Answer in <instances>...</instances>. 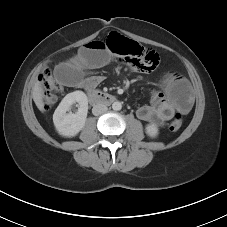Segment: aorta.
<instances>
[{"label":"aorta","mask_w":227,"mask_h":227,"mask_svg":"<svg viewBox=\"0 0 227 227\" xmlns=\"http://www.w3.org/2000/svg\"><path fill=\"white\" fill-rule=\"evenodd\" d=\"M122 108V104L119 101H116L112 104V109L115 111H119Z\"/></svg>","instance_id":"obj_1"}]
</instances>
